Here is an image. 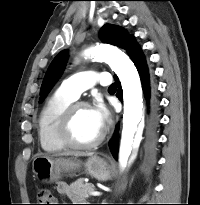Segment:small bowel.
Masks as SVG:
<instances>
[{
  "instance_id": "obj_1",
  "label": "small bowel",
  "mask_w": 200,
  "mask_h": 205,
  "mask_svg": "<svg viewBox=\"0 0 200 205\" xmlns=\"http://www.w3.org/2000/svg\"><path fill=\"white\" fill-rule=\"evenodd\" d=\"M57 191L64 196H71L69 186L66 183H59L57 185Z\"/></svg>"
}]
</instances>
